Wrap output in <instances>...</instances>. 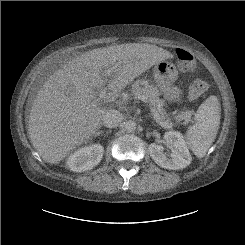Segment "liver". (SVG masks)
Wrapping results in <instances>:
<instances>
[{
  "label": "liver",
  "instance_id": "obj_1",
  "mask_svg": "<svg viewBox=\"0 0 245 245\" xmlns=\"http://www.w3.org/2000/svg\"><path fill=\"white\" fill-rule=\"evenodd\" d=\"M173 55L146 43L110 45L87 51L55 71L33 101L28 134L34 149L48 163L62 161L88 141L101 126L106 108L95 89L108 82L104 102L115 101L136 77ZM113 68L106 80L105 71Z\"/></svg>",
  "mask_w": 245,
  "mask_h": 245
}]
</instances>
